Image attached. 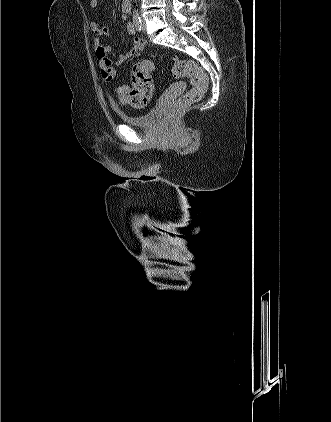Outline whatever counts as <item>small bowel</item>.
Wrapping results in <instances>:
<instances>
[{
  "label": "small bowel",
  "mask_w": 331,
  "mask_h": 422,
  "mask_svg": "<svg viewBox=\"0 0 331 422\" xmlns=\"http://www.w3.org/2000/svg\"><path fill=\"white\" fill-rule=\"evenodd\" d=\"M91 9H96L98 7V0H90ZM121 19L127 21L125 29L127 34L134 35L136 32V27L134 23L128 21L131 13V5L129 1L122 0L121 3ZM90 30L94 33L95 37L93 39V45L95 48L96 59L99 64L100 72L102 78L105 81H112L115 77V66L122 64L123 62L131 59L140 53L144 46L145 41L140 37H135L133 39L132 48L120 55L112 54L111 46L105 45L101 42V36H107L110 33L108 26L100 24L96 21H92L89 24Z\"/></svg>",
  "instance_id": "obj_1"
}]
</instances>
